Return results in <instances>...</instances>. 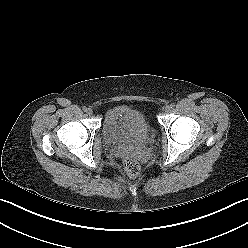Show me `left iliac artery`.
Instances as JSON below:
<instances>
[{
	"mask_svg": "<svg viewBox=\"0 0 248 248\" xmlns=\"http://www.w3.org/2000/svg\"><path fill=\"white\" fill-rule=\"evenodd\" d=\"M170 107H171V108H174V107H175V104H174V103H171V104H170Z\"/></svg>",
	"mask_w": 248,
	"mask_h": 248,
	"instance_id": "1",
	"label": "left iliac artery"
}]
</instances>
